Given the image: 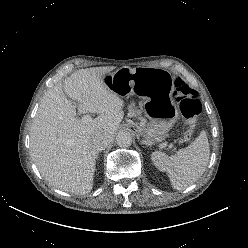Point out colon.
<instances>
[{
  "instance_id": "obj_1",
  "label": "colon",
  "mask_w": 248,
  "mask_h": 248,
  "mask_svg": "<svg viewBox=\"0 0 248 248\" xmlns=\"http://www.w3.org/2000/svg\"><path fill=\"white\" fill-rule=\"evenodd\" d=\"M173 95L180 104L183 116L188 121L184 141L189 142L194 134L195 120L201 111V103L197 98L196 91L181 78H177L175 81Z\"/></svg>"
}]
</instances>
